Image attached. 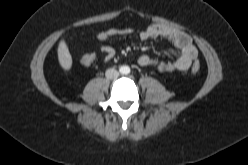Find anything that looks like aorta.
Masks as SVG:
<instances>
[{"mask_svg":"<svg viewBox=\"0 0 248 165\" xmlns=\"http://www.w3.org/2000/svg\"><path fill=\"white\" fill-rule=\"evenodd\" d=\"M120 72H121L122 74H128V73H130V68H129V66H122V67L120 68Z\"/></svg>","mask_w":248,"mask_h":165,"instance_id":"1","label":"aorta"}]
</instances>
